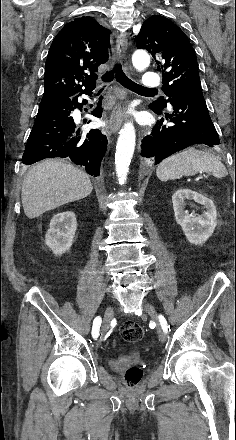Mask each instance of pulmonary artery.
I'll return each mask as SVG.
<instances>
[{"label": "pulmonary artery", "instance_id": "obj_1", "mask_svg": "<svg viewBox=\"0 0 236 440\" xmlns=\"http://www.w3.org/2000/svg\"><path fill=\"white\" fill-rule=\"evenodd\" d=\"M160 77L156 73L148 72L142 81V86L146 89L157 88L160 85Z\"/></svg>", "mask_w": 236, "mask_h": 440}]
</instances>
